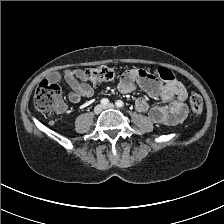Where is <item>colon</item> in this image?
<instances>
[{"instance_id": "colon-1", "label": "colon", "mask_w": 224, "mask_h": 224, "mask_svg": "<svg viewBox=\"0 0 224 224\" xmlns=\"http://www.w3.org/2000/svg\"><path fill=\"white\" fill-rule=\"evenodd\" d=\"M84 73L86 79L92 83L112 81L116 76L115 70L107 66L89 68ZM157 75L161 80L166 82L175 79L172 71L165 67L158 68ZM189 104L192 112L196 116H199L202 113L203 99L199 94H191ZM34 106L39 112L61 110L64 107V103L59 85L46 80L41 81L35 90Z\"/></svg>"}]
</instances>
